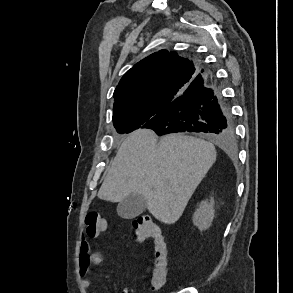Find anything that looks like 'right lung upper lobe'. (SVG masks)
Listing matches in <instances>:
<instances>
[{"label": "right lung upper lobe", "mask_w": 293, "mask_h": 293, "mask_svg": "<svg viewBox=\"0 0 293 293\" xmlns=\"http://www.w3.org/2000/svg\"><path fill=\"white\" fill-rule=\"evenodd\" d=\"M199 72V66L175 52L161 50L146 57L128 70L116 87L113 116L143 108L154 111L153 117L158 115Z\"/></svg>", "instance_id": "1"}]
</instances>
